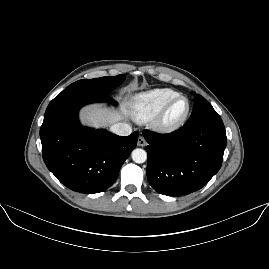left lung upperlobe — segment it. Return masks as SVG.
<instances>
[{
    "label": "left lung upper lobe",
    "instance_id": "1",
    "mask_svg": "<svg viewBox=\"0 0 269 269\" xmlns=\"http://www.w3.org/2000/svg\"><path fill=\"white\" fill-rule=\"evenodd\" d=\"M194 109L185 126H193L207 121L220 120L212 105L201 95L194 93Z\"/></svg>",
    "mask_w": 269,
    "mask_h": 269
}]
</instances>
